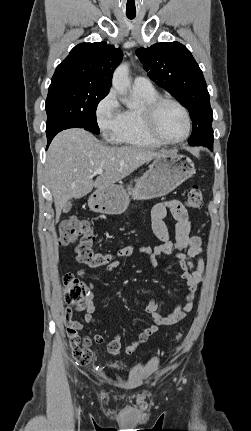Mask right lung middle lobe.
I'll return each instance as SVG.
<instances>
[{
    "mask_svg": "<svg viewBox=\"0 0 251 431\" xmlns=\"http://www.w3.org/2000/svg\"><path fill=\"white\" fill-rule=\"evenodd\" d=\"M108 92L72 79L52 80L46 100V134L67 128H84L99 134L96 109Z\"/></svg>",
    "mask_w": 251,
    "mask_h": 431,
    "instance_id": "right-lung-middle-lobe-1",
    "label": "right lung middle lobe"
}]
</instances>
